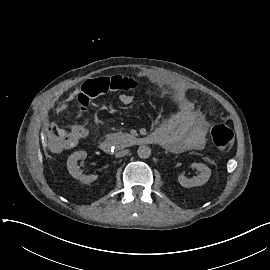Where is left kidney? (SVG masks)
<instances>
[{"instance_id": "obj_1", "label": "left kidney", "mask_w": 270, "mask_h": 270, "mask_svg": "<svg viewBox=\"0 0 270 270\" xmlns=\"http://www.w3.org/2000/svg\"><path fill=\"white\" fill-rule=\"evenodd\" d=\"M191 166L193 168H196L200 174L198 176H194L193 178H187L183 174L178 176V181L181 186L185 188L195 187V186H201L205 184L210 176H211V169L207 167L203 163H192Z\"/></svg>"}]
</instances>
